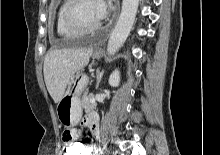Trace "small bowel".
<instances>
[{
    "instance_id": "small-bowel-1",
    "label": "small bowel",
    "mask_w": 220,
    "mask_h": 155,
    "mask_svg": "<svg viewBox=\"0 0 220 155\" xmlns=\"http://www.w3.org/2000/svg\"><path fill=\"white\" fill-rule=\"evenodd\" d=\"M82 124L89 127L95 137H99V119L95 113L87 114L83 119ZM78 137L79 132L76 130L75 126H64V130H62V136L60 139L61 141H76ZM84 155H94L93 147L86 146Z\"/></svg>"
}]
</instances>
